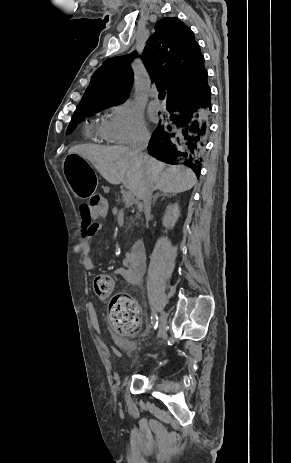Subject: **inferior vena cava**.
<instances>
[{
    "label": "inferior vena cava",
    "instance_id": "inferior-vena-cava-1",
    "mask_svg": "<svg viewBox=\"0 0 291 463\" xmlns=\"http://www.w3.org/2000/svg\"><path fill=\"white\" fill-rule=\"evenodd\" d=\"M150 135L145 133L140 136L137 142L132 146V153L137 156L141 161H146V156L143 151L146 149ZM153 183L149 177L145 179L143 188H142V200L144 214L146 218L150 215L151 212V199H152Z\"/></svg>",
    "mask_w": 291,
    "mask_h": 463
}]
</instances>
